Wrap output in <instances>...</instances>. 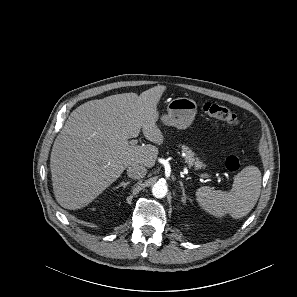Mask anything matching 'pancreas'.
Here are the masks:
<instances>
[{
  "label": "pancreas",
  "mask_w": 297,
  "mask_h": 297,
  "mask_svg": "<svg viewBox=\"0 0 297 297\" xmlns=\"http://www.w3.org/2000/svg\"><path fill=\"white\" fill-rule=\"evenodd\" d=\"M182 152L186 154L185 160L188 163L189 166L195 165L196 168H201L204 166L202 162L198 160V158H194L195 153L189 149L187 146L183 145L182 146Z\"/></svg>",
  "instance_id": "cf45deb5"
}]
</instances>
